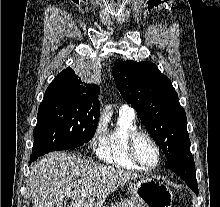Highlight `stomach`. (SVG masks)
<instances>
[{"label": "stomach", "mask_w": 220, "mask_h": 207, "mask_svg": "<svg viewBox=\"0 0 220 207\" xmlns=\"http://www.w3.org/2000/svg\"><path fill=\"white\" fill-rule=\"evenodd\" d=\"M132 197L115 207H172L173 193L161 180L146 176L131 185ZM104 207V206H100Z\"/></svg>", "instance_id": "obj_1"}]
</instances>
